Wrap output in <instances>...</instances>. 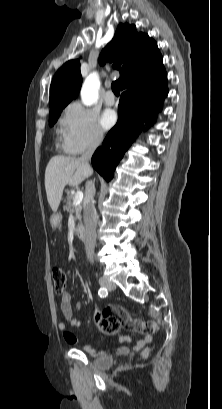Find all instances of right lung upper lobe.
Masks as SVG:
<instances>
[{
  "mask_svg": "<svg viewBox=\"0 0 222 409\" xmlns=\"http://www.w3.org/2000/svg\"><path fill=\"white\" fill-rule=\"evenodd\" d=\"M109 60L120 71V86L123 89L133 79L162 70V56L157 43L148 35L137 32L136 26L120 23L113 39L102 50L99 62ZM82 84L79 60L65 63L54 75L50 86V111L64 108L78 96Z\"/></svg>",
  "mask_w": 222,
  "mask_h": 409,
  "instance_id": "right-lung-upper-lobe-1",
  "label": "right lung upper lobe"
}]
</instances>
